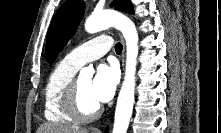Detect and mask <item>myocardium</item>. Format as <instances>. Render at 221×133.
I'll use <instances>...</instances> for the list:
<instances>
[{
  "label": "myocardium",
  "mask_w": 221,
  "mask_h": 133,
  "mask_svg": "<svg viewBox=\"0 0 221 133\" xmlns=\"http://www.w3.org/2000/svg\"><path fill=\"white\" fill-rule=\"evenodd\" d=\"M62 106L64 111L73 120L78 122H88L96 119L101 114V106H98L89 113L82 110L79 98L78 79L74 78L65 88L62 96Z\"/></svg>",
  "instance_id": "obj_1"
}]
</instances>
